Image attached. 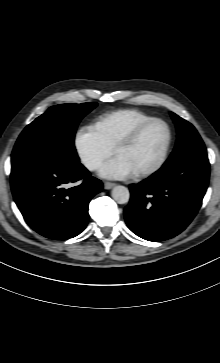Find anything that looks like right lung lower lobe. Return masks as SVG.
Wrapping results in <instances>:
<instances>
[{
	"label": "right lung lower lobe",
	"mask_w": 220,
	"mask_h": 363,
	"mask_svg": "<svg viewBox=\"0 0 220 363\" xmlns=\"http://www.w3.org/2000/svg\"><path fill=\"white\" fill-rule=\"evenodd\" d=\"M14 200L27 224L44 237L66 240L81 233L88 222V205L103 186L82 165L40 158L11 170ZM82 184L65 189V184Z\"/></svg>",
	"instance_id": "obj_1"
}]
</instances>
